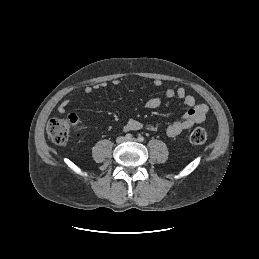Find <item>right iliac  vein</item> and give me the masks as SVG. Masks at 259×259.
<instances>
[{"instance_id":"obj_1","label":"right iliac vein","mask_w":259,"mask_h":259,"mask_svg":"<svg viewBox=\"0 0 259 259\" xmlns=\"http://www.w3.org/2000/svg\"><path fill=\"white\" fill-rule=\"evenodd\" d=\"M125 141L124 137H118L117 138V143H123Z\"/></svg>"}]
</instances>
